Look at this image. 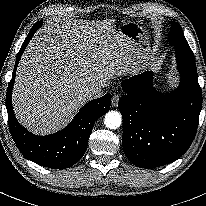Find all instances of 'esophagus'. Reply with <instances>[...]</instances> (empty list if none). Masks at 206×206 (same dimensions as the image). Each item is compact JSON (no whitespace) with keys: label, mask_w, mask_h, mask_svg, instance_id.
Returning <instances> with one entry per match:
<instances>
[{"label":"esophagus","mask_w":206,"mask_h":206,"mask_svg":"<svg viewBox=\"0 0 206 206\" xmlns=\"http://www.w3.org/2000/svg\"><path fill=\"white\" fill-rule=\"evenodd\" d=\"M119 99H120V96L118 94H114L111 99V105L113 107H116L118 105Z\"/></svg>","instance_id":"esophagus-1"}]
</instances>
